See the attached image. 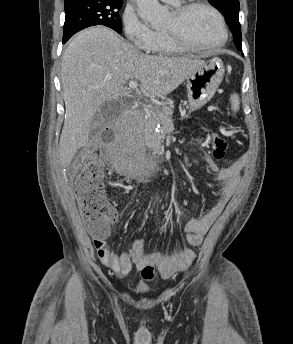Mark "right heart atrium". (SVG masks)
<instances>
[{
	"label": "right heart atrium",
	"instance_id": "right-heart-atrium-1",
	"mask_svg": "<svg viewBox=\"0 0 293 344\" xmlns=\"http://www.w3.org/2000/svg\"><path fill=\"white\" fill-rule=\"evenodd\" d=\"M121 23L126 39L135 50H150L157 39L158 32L152 29L132 7L127 6L124 9Z\"/></svg>",
	"mask_w": 293,
	"mask_h": 344
}]
</instances>
